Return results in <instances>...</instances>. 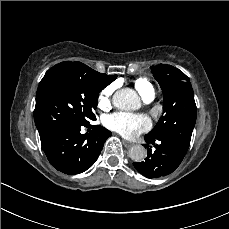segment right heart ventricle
<instances>
[{
	"instance_id": "obj_1",
	"label": "right heart ventricle",
	"mask_w": 229,
	"mask_h": 229,
	"mask_svg": "<svg viewBox=\"0 0 229 229\" xmlns=\"http://www.w3.org/2000/svg\"><path fill=\"white\" fill-rule=\"evenodd\" d=\"M134 86L137 91L140 93L142 98H146L150 95L155 96L154 87L151 85L148 79L146 78H137L134 82Z\"/></svg>"
}]
</instances>
